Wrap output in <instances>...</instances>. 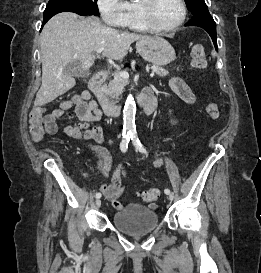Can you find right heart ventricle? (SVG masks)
Here are the masks:
<instances>
[{"instance_id":"obj_1","label":"right heart ventricle","mask_w":261,"mask_h":273,"mask_svg":"<svg viewBox=\"0 0 261 273\" xmlns=\"http://www.w3.org/2000/svg\"><path fill=\"white\" fill-rule=\"evenodd\" d=\"M140 0H130L125 2V17L123 20L122 28L134 32H148L150 31L145 25L139 9Z\"/></svg>"}]
</instances>
